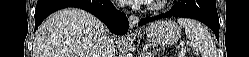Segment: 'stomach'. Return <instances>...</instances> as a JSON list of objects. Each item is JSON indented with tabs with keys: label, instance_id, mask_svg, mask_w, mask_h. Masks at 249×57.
<instances>
[{
	"label": "stomach",
	"instance_id": "0dacf381",
	"mask_svg": "<svg viewBox=\"0 0 249 57\" xmlns=\"http://www.w3.org/2000/svg\"><path fill=\"white\" fill-rule=\"evenodd\" d=\"M150 43L157 45H173L181 37V28L173 20H161L151 23L144 31Z\"/></svg>",
	"mask_w": 249,
	"mask_h": 57
}]
</instances>
